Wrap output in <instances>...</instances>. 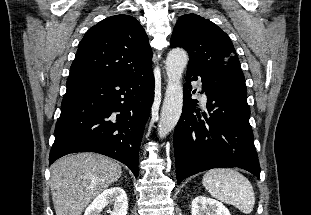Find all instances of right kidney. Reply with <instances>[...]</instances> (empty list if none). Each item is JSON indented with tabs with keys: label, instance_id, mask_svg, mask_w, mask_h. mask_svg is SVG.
<instances>
[{
	"label": "right kidney",
	"instance_id": "obj_1",
	"mask_svg": "<svg viewBox=\"0 0 311 215\" xmlns=\"http://www.w3.org/2000/svg\"><path fill=\"white\" fill-rule=\"evenodd\" d=\"M108 204L113 205V210L109 211L110 215H127V195L119 186L111 187L99 194L87 207L84 215H100Z\"/></svg>",
	"mask_w": 311,
	"mask_h": 215
}]
</instances>
